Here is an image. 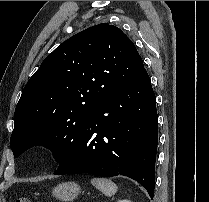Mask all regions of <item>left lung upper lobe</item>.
I'll return each instance as SVG.
<instances>
[{
    "mask_svg": "<svg viewBox=\"0 0 209 202\" xmlns=\"http://www.w3.org/2000/svg\"><path fill=\"white\" fill-rule=\"evenodd\" d=\"M143 69L135 45L116 26L98 24L64 41L22 92L10 138L14 157L42 145L61 167L84 135L90 112Z\"/></svg>",
    "mask_w": 209,
    "mask_h": 202,
    "instance_id": "left-lung-upper-lobe-1",
    "label": "left lung upper lobe"
}]
</instances>
